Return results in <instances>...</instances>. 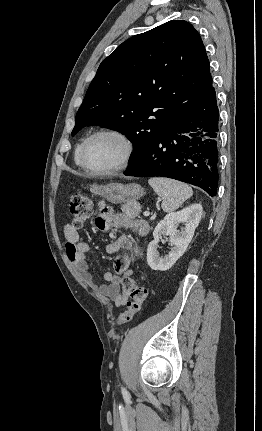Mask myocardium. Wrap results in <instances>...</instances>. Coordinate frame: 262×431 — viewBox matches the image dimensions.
I'll return each mask as SVG.
<instances>
[{"label":"myocardium","instance_id":"f54148a6","mask_svg":"<svg viewBox=\"0 0 262 431\" xmlns=\"http://www.w3.org/2000/svg\"><path fill=\"white\" fill-rule=\"evenodd\" d=\"M104 135L114 136L118 138L124 145V154L119 164L114 168L108 169V170H102V171L93 170L86 164V161H85L86 151L89 143L94 138L99 136H104ZM134 152H135L134 142L126 132L120 129L107 128V129H101L99 131H96L85 139L80 150L79 161H80L81 167L92 176H111L127 168V166L129 165V163L133 158Z\"/></svg>","mask_w":262,"mask_h":431}]
</instances>
